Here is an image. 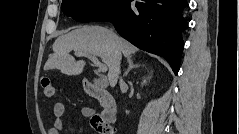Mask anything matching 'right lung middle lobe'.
Wrapping results in <instances>:
<instances>
[{
  "instance_id": "right-lung-middle-lobe-1",
  "label": "right lung middle lobe",
  "mask_w": 239,
  "mask_h": 134,
  "mask_svg": "<svg viewBox=\"0 0 239 134\" xmlns=\"http://www.w3.org/2000/svg\"><path fill=\"white\" fill-rule=\"evenodd\" d=\"M120 0H63L61 9L78 22H90L108 12Z\"/></svg>"
}]
</instances>
